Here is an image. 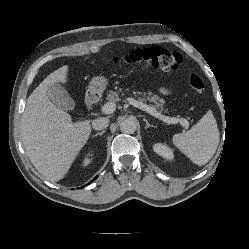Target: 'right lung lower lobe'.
<instances>
[{
  "mask_svg": "<svg viewBox=\"0 0 249 249\" xmlns=\"http://www.w3.org/2000/svg\"><path fill=\"white\" fill-rule=\"evenodd\" d=\"M96 178H97V177H95L93 180H95ZM93 180H92V181H93ZM92 181H91V182H92Z\"/></svg>",
  "mask_w": 249,
  "mask_h": 249,
  "instance_id": "right-lung-lower-lobe-1",
  "label": "right lung lower lobe"
}]
</instances>
